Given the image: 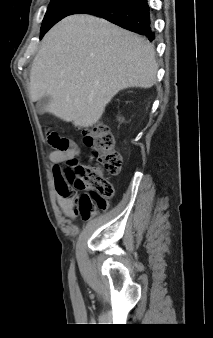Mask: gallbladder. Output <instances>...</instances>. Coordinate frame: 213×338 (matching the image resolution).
Returning <instances> with one entry per match:
<instances>
[{
    "instance_id": "obj_1",
    "label": "gallbladder",
    "mask_w": 213,
    "mask_h": 338,
    "mask_svg": "<svg viewBox=\"0 0 213 338\" xmlns=\"http://www.w3.org/2000/svg\"><path fill=\"white\" fill-rule=\"evenodd\" d=\"M50 102V97L45 95L43 96L42 98H40L38 101H37V110L39 113H43L44 112V108L45 106H47Z\"/></svg>"
}]
</instances>
